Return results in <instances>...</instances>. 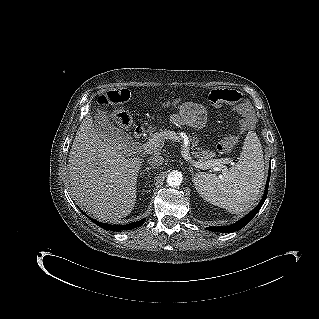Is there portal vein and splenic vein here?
<instances>
[{
	"label": "portal vein and splenic vein",
	"instance_id": "portal-vein-and-splenic-vein-1",
	"mask_svg": "<svg viewBox=\"0 0 319 319\" xmlns=\"http://www.w3.org/2000/svg\"><path fill=\"white\" fill-rule=\"evenodd\" d=\"M183 145H182V156L183 158L190 162V164L196 168L199 169H208L211 168L215 171L221 170L225 171L226 168L224 164L227 162L226 159H218L217 161L213 163H201L198 161H195L192 159L190 153H189V147H188V139L187 137H183ZM161 139H170V140H180V136H178L177 133L170 130H164L162 132L156 133L153 139H151L149 142H146L142 145V150L145 152H154L158 150Z\"/></svg>",
	"mask_w": 319,
	"mask_h": 319
}]
</instances>
